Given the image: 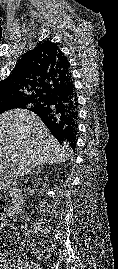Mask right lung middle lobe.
<instances>
[{"mask_svg":"<svg viewBox=\"0 0 118 269\" xmlns=\"http://www.w3.org/2000/svg\"><path fill=\"white\" fill-rule=\"evenodd\" d=\"M32 106H34V101L31 98L14 101H2L0 102V114L11 109L15 108L28 109L29 107Z\"/></svg>","mask_w":118,"mask_h":269,"instance_id":"dd1d6c3e","label":"right lung middle lobe"}]
</instances>
